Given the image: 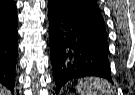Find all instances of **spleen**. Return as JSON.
Masks as SVG:
<instances>
[{
  "label": "spleen",
  "mask_w": 135,
  "mask_h": 95,
  "mask_svg": "<svg viewBox=\"0 0 135 95\" xmlns=\"http://www.w3.org/2000/svg\"><path fill=\"white\" fill-rule=\"evenodd\" d=\"M80 95H113L110 83L102 78H82L77 82Z\"/></svg>",
  "instance_id": "1"
}]
</instances>
